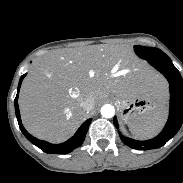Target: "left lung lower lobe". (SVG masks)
<instances>
[{
  "label": "left lung lower lobe",
  "mask_w": 183,
  "mask_h": 183,
  "mask_svg": "<svg viewBox=\"0 0 183 183\" xmlns=\"http://www.w3.org/2000/svg\"><path fill=\"white\" fill-rule=\"evenodd\" d=\"M149 64L160 71L168 80L170 86V113L168 121L162 132L153 139L137 141L120 134V138L131 148L137 150H150L163 146L180 129L183 123V79L173 65L171 59L166 55L159 58L147 60ZM113 123L118 127L117 119L114 117Z\"/></svg>",
  "instance_id": "0a47b994"
}]
</instances>
